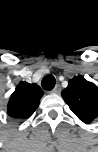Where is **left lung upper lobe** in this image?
<instances>
[{
    "mask_svg": "<svg viewBox=\"0 0 98 152\" xmlns=\"http://www.w3.org/2000/svg\"><path fill=\"white\" fill-rule=\"evenodd\" d=\"M71 111L84 123L98 117V88L79 75L69 80L61 93Z\"/></svg>",
    "mask_w": 98,
    "mask_h": 152,
    "instance_id": "5c2ea615",
    "label": "left lung upper lobe"
}]
</instances>
